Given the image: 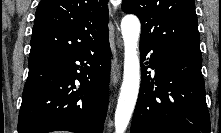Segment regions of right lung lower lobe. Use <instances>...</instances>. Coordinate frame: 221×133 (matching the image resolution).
Segmentation results:
<instances>
[{
    "label": "right lung lower lobe",
    "mask_w": 221,
    "mask_h": 133,
    "mask_svg": "<svg viewBox=\"0 0 221 133\" xmlns=\"http://www.w3.org/2000/svg\"><path fill=\"white\" fill-rule=\"evenodd\" d=\"M110 65L108 33L79 51L30 61L18 133H103Z\"/></svg>",
    "instance_id": "right-lung-lower-lobe-1"
}]
</instances>
